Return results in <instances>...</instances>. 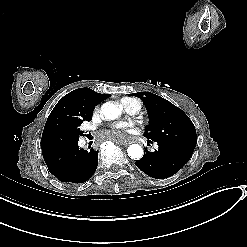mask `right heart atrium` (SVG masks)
<instances>
[{"label": "right heart atrium", "mask_w": 247, "mask_h": 247, "mask_svg": "<svg viewBox=\"0 0 247 247\" xmlns=\"http://www.w3.org/2000/svg\"><path fill=\"white\" fill-rule=\"evenodd\" d=\"M98 112H99V108L96 107V108L94 109V113L97 114Z\"/></svg>", "instance_id": "1"}]
</instances>
